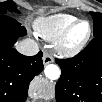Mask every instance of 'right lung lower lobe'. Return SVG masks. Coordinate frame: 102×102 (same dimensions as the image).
Listing matches in <instances>:
<instances>
[{"label":"right lung lower lobe","instance_id":"1","mask_svg":"<svg viewBox=\"0 0 102 102\" xmlns=\"http://www.w3.org/2000/svg\"><path fill=\"white\" fill-rule=\"evenodd\" d=\"M26 30L15 19L0 17V100L2 102H24L30 81L44 68L42 52L35 56H24L13 48Z\"/></svg>","mask_w":102,"mask_h":102}]
</instances>
